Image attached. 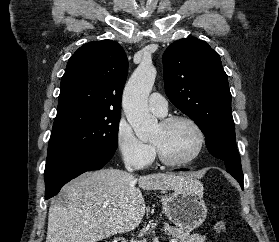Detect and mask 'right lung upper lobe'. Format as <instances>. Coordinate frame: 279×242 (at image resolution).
<instances>
[{
  "instance_id": "right-lung-upper-lobe-1",
  "label": "right lung upper lobe",
  "mask_w": 279,
  "mask_h": 242,
  "mask_svg": "<svg viewBox=\"0 0 279 242\" xmlns=\"http://www.w3.org/2000/svg\"><path fill=\"white\" fill-rule=\"evenodd\" d=\"M127 72V57L119 43L84 44L68 61L57 114L79 109L120 114Z\"/></svg>"
}]
</instances>
